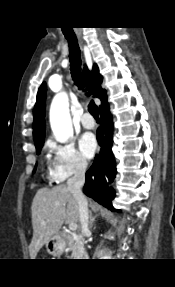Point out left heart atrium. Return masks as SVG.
Masks as SVG:
<instances>
[{"instance_id": "1", "label": "left heart atrium", "mask_w": 175, "mask_h": 287, "mask_svg": "<svg viewBox=\"0 0 175 287\" xmlns=\"http://www.w3.org/2000/svg\"><path fill=\"white\" fill-rule=\"evenodd\" d=\"M81 152L88 158L92 157L97 149V141L92 133H85L79 140Z\"/></svg>"}]
</instances>
